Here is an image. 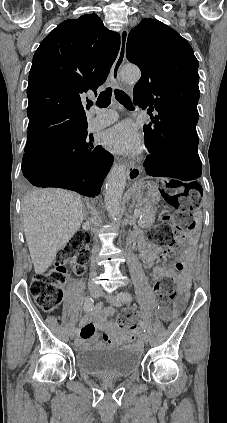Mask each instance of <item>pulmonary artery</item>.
Returning <instances> with one entry per match:
<instances>
[{
  "instance_id": "1",
  "label": "pulmonary artery",
  "mask_w": 227,
  "mask_h": 423,
  "mask_svg": "<svg viewBox=\"0 0 227 423\" xmlns=\"http://www.w3.org/2000/svg\"><path fill=\"white\" fill-rule=\"evenodd\" d=\"M92 111L96 113V116L90 120L91 130H100L108 127L118 119V115L114 110L93 108Z\"/></svg>"
}]
</instances>
